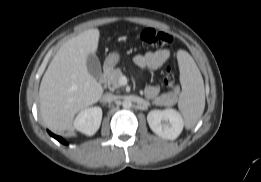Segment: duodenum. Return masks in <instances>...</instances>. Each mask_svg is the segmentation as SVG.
Returning <instances> with one entry per match:
<instances>
[{
  "label": "duodenum",
  "mask_w": 261,
  "mask_h": 182,
  "mask_svg": "<svg viewBox=\"0 0 261 182\" xmlns=\"http://www.w3.org/2000/svg\"><path fill=\"white\" fill-rule=\"evenodd\" d=\"M108 70H109L108 67H104L103 74H102V77H101V82H104L106 80V76H107Z\"/></svg>",
  "instance_id": "1"
}]
</instances>
